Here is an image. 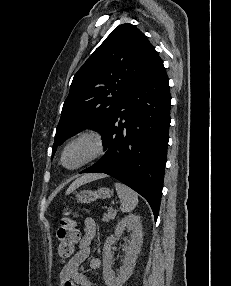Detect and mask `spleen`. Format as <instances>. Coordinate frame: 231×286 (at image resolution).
Listing matches in <instances>:
<instances>
[{
  "mask_svg": "<svg viewBox=\"0 0 231 286\" xmlns=\"http://www.w3.org/2000/svg\"><path fill=\"white\" fill-rule=\"evenodd\" d=\"M118 197L122 200L120 209L122 212H131L138 205V195L126 185L116 182L114 184Z\"/></svg>",
  "mask_w": 231,
  "mask_h": 286,
  "instance_id": "1",
  "label": "spleen"
}]
</instances>
